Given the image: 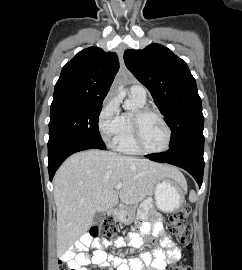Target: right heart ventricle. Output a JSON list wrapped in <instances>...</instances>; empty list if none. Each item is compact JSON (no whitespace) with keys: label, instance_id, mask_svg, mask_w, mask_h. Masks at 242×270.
Wrapping results in <instances>:
<instances>
[{"label":"right heart ventricle","instance_id":"obj_1","mask_svg":"<svg viewBox=\"0 0 242 270\" xmlns=\"http://www.w3.org/2000/svg\"><path fill=\"white\" fill-rule=\"evenodd\" d=\"M133 102L136 104L138 108H143L145 103H141L135 99ZM114 147L117 151L126 153V154H139L140 151L134 144L133 140V129H132V114L131 113H123L121 115V127L114 139Z\"/></svg>","mask_w":242,"mask_h":270}]
</instances>
